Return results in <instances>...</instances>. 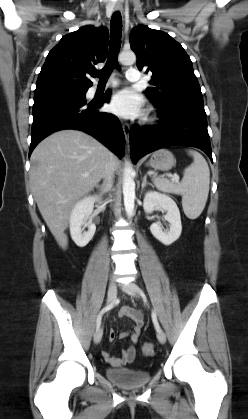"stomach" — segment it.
<instances>
[{"mask_svg": "<svg viewBox=\"0 0 248 419\" xmlns=\"http://www.w3.org/2000/svg\"><path fill=\"white\" fill-rule=\"evenodd\" d=\"M148 165L154 169L169 170L175 165V158L169 150L160 149L152 154Z\"/></svg>", "mask_w": 248, "mask_h": 419, "instance_id": "1", "label": "stomach"}]
</instances>
